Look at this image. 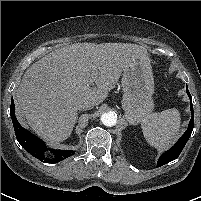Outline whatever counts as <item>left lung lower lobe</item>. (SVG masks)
<instances>
[{"instance_id": "1", "label": "left lung lower lobe", "mask_w": 201, "mask_h": 201, "mask_svg": "<svg viewBox=\"0 0 201 201\" xmlns=\"http://www.w3.org/2000/svg\"><path fill=\"white\" fill-rule=\"evenodd\" d=\"M186 92L189 96V99L191 101V106H190V110H191V120L189 122V126L187 128V130L185 131V133L182 135V137L176 142V144L169 149L168 151H166L164 154H162L160 156V158L158 159L157 162V166H163L173 160H175L176 158H178V156L180 155V153L182 152L183 148L185 147L188 139L191 136V133L193 131V126H194V111H193V104H192V96L190 95L189 91H188V87L186 86Z\"/></svg>"}]
</instances>
